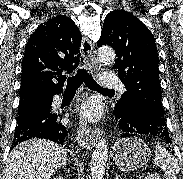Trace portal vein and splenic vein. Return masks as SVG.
Returning <instances> with one entry per match:
<instances>
[{"label": "portal vein and splenic vein", "mask_w": 183, "mask_h": 179, "mask_svg": "<svg viewBox=\"0 0 183 179\" xmlns=\"http://www.w3.org/2000/svg\"><path fill=\"white\" fill-rule=\"evenodd\" d=\"M153 175H154L153 173H147V176L145 177V179H148V177H151Z\"/></svg>", "instance_id": "obj_1"}]
</instances>
